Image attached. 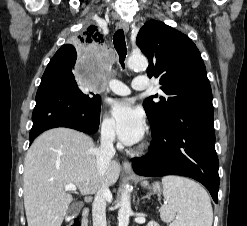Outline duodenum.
Segmentation results:
<instances>
[{
    "label": "duodenum",
    "instance_id": "obj_1",
    "mask_svg": "<svg viewBox=\"0 0 247 226\" xmlns=\"http://www.w3.org/2000/svg\"><path fill=\"white\" fill-rule=\"evenodd\" d=\"M90 210L88 208H83L81 211V225L87 226Z\"/></svg>",
    "mask_w": 247,
    "mask_h": 226
}]
</instances>
